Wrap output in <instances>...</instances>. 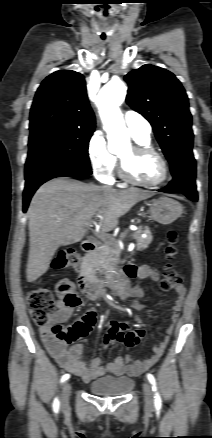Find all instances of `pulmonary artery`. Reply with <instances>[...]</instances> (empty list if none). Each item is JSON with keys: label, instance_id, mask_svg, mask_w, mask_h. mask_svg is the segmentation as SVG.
Returning a JSON list of instances; mask_svg holds the SVG:
<instances>
[{"label": "pulmonary artery", "instance_id": "1", "mask_svg": "<svg viewBox=\"0 0 212 438\" xmlns=\"http://www.w3.org/2000/svg\"><path fill=\"white\" fill-rule=\"evenodd\" d=\"M124 123L134 138H150L151 125L140 113L132 110L126 111Z\"/></svg>", "mask_w": 212, "mask_h": 438}]
</instances>
